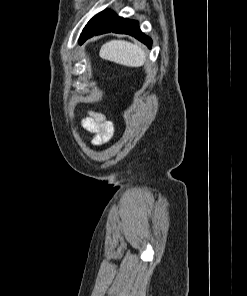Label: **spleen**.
<instances>
[{
    "instance_id": "1",
    "label": "spleen",
    "mask_w": 247,
    "mask_h": 296,
    "mask_svg": "<svg viewBox=\"0 0 247 296\" xmlns=\"http://www.w3.org/2000/svg\"><path fill=\"white\" fill-rule=\"evenodd\" d=\"M99 55L102 59L128 67H140L146 62V54L140 45L122 40L105 43Z\"/></svg>"
}]
</instances>
